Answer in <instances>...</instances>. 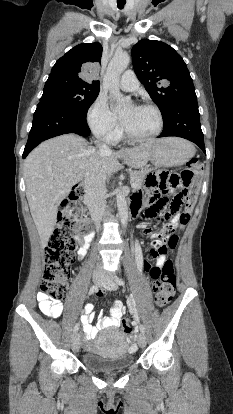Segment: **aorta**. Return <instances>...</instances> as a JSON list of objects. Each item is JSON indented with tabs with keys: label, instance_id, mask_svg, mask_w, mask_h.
<instances>
[{
	"label": "aorta",
	"instance_id": "obj_1",
	"mask_svg": "<svg viewBox=\"0 0 233 414\" xmlns=\"http://www.w3.org/2000/svg\"><path fill=\"white\" fill-rule=\"evenodd\" d=\"M130 63V56L126 53H116L111 59L103 80L104 87L109 91L110 95L116 98V108L127 106L131 103L130 97H123L119 89V80L123 71ZM116 203L118 214L123 226L128 222V206L125 196L121 191H116Z\"/></svg>",
	"mask_w": 233,
	"mask_h": 414
}]
</instances>
